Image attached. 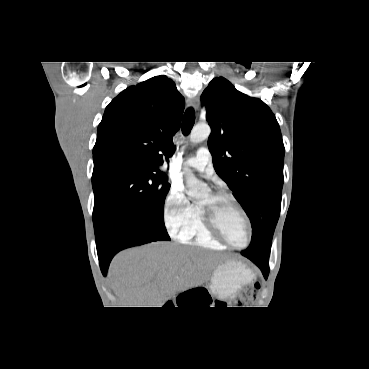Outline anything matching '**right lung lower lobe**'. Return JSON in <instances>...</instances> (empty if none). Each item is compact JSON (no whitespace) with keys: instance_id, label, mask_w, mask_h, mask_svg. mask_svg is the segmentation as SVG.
Masks as SVG:
<instances>
[{"instance_id":"98d812e1","label":"right lung lower lobe","mask_w":369,"mask_h":369,"mask_svg":"<svg viewBox=\"0 0 369 369\" xmlns=\"http://www.w3.org/2000/svg\"><path fill=\"white\" fill-rule=\"evenodd\" d=\"M95 237L104 275L111 259L119 251L159 240L138 218L127 214H118L108 219L101 229L95 232Z\"/></svg>"}]
</instances>
